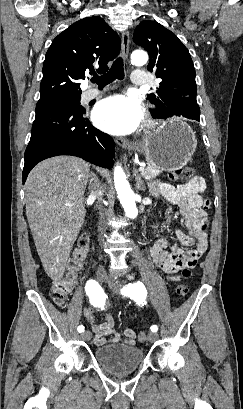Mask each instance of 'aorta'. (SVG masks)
I'll use <instances>...</instances> for the list:
<instances>
[{
    "label": "aorta",
    "mask_w": 243,
    "mask_h": 409,
    "mask_svg": "<svg viewBox=\"0 0 243 409\" xmlns=\"http://www.w3.org/2000/svg\"><path fill=\"white\" fill-rule=\"evenodd\" d=\"M132 63L141 66L148 60L147 53L135 51L131 55ZM114 185L125 214L129 218H135L138 215V209L135 202V195L126 180V175L121 166L117 165L114 169Z\"/></svg>",
    "instance_id": "aorta-1"
}]
</instances>
